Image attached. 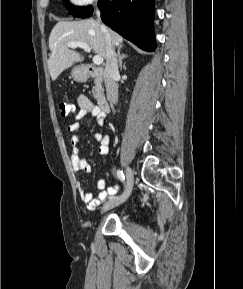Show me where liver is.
<instances>
[{"label": "liver", "mask_w": 243, "mask_h": 289, "mask_svg": "<svg viewBox=\"0 0 243 289\" xmlns=\"http://www.w3.org/2000/svg\"><path fill=\"white\" fill-rule=\"evenodd\" d=\"M101 24L94 19L80 21H59L49 37L51 51L48 69L54 81L66 69L83 60V55L67 46L69 42L87 43L97 55L106 58V40ZM113 46L122 47L123 38L116 32L108 30Z\"/></svg>", "instance_id": "1"}]
</instances>
